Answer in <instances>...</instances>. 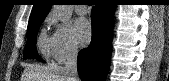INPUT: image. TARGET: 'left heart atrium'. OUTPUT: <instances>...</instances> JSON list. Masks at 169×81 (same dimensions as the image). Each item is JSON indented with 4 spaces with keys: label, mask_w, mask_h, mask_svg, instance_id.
<instances>
[{
    "label": "left heart atrium",
    "mask_w": 169,
    "mask_h": 81,
    "mask_svg": "<svg viewBox=\"0 0 169 81\" xmlns=\"http://www.w3.org/2000/svg\"><path fill=\"white\" fill-rule=\"evenodd\" d=\"M74 35L80 45H85L91 37V26L87 19L79 18L74 23Z\"/></svg>",
    "instance_id": "39dd6f15"
}]
</instances>
